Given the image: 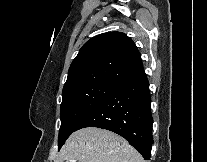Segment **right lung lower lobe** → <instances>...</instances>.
<instances>
[{
    "instance_id": "98d812e1",
    "label": "right lung lower lobe",
    "mask_w": 207,
    "mask_h": 162,
    "mask_svg": "<svg viewBox=\"0 0 207 162\" xmlns=\"http://www.w3.org/2000/svg\"><path fill=\"white\" fill-rule=\"evenodd\" d=\"M149 82L140 71L117 86L79 123L85 127L107 129L124 137L145 160H150L152 115Z\"/></svg>"
}]
</instances>
